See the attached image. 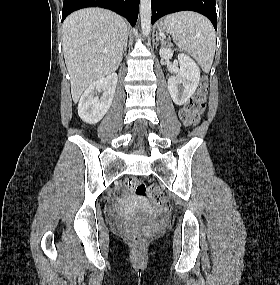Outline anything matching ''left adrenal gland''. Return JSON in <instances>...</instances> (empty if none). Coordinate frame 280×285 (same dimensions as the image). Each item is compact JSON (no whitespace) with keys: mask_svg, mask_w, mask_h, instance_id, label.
Segmentation results:
<instances>
[{"mask_svg":"<svg viewBox=\"0 0 280 285\" xmlns=\"http://www.w3.org/2000/svg\"><path fill=\"white\" fill-rule=\"evenodd\" d=\"M156 41L158 42V41H161L162 43H164L165 42V39L164 38H162L158 33L156 34Z\"/></svg>","mask_w":280,"mask_h":285,"instance_id":"a2214340","label":"left adrenal gland"}]
</instances>
